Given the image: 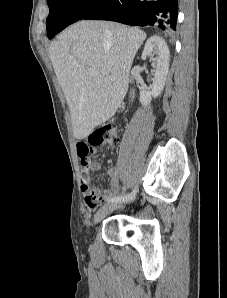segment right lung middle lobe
Returning a JSON list of instances; mask_svg holds the SVG:
<instances>
[{
  "label": "right lung middle lobe",
  "mask_w": 227,
  "mask_h": 298,
  "mask_svg": "<svg viewBox=\"0 0 227 298\" xmlns=\"http://www.w3.org/2000/svg\"><path fill=\"white\" fill-rule=\"evenodd\" d=\"M104 0H47L50 13L47 18V33L51 38L68 25L83 19Z\"/></svg>",
  "instance_id": "dd1d6c3e"
}]
</instances>
